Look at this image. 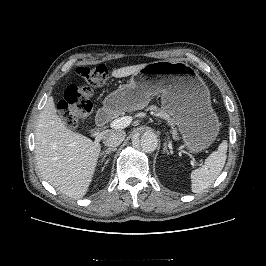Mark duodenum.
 Masks as SVG:
<instances>
[{
	"instance_id": "410a0bca",
	"label": "duodenum",
	"mask_w": 266,
	"mask_h": 266,
	"mask_svg": "<svg viewBox=\"0 0 266 266\" xmlns=\"http://www.w3.org/2000/svg\"><path fill=\"white\" fill-rule=\"evenodd\" d=\"M115 113V108L107 104L104 108L99 110L96 115V123L99 127H103L110 122Z\"/></svg>"
}]
</instances>
